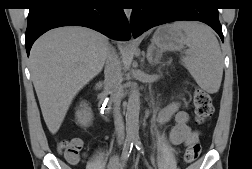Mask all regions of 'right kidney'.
I'll use <instances>...</instances> for the list:
<instances>
[{
	"label": "right kidney",
	"instance_id": "1",
	"mask_svg": "<svg viewBox=\"0 0 252 169\" xmlns=\"http://www.w3.org/2000/svg\"><path fill=\"white\" fill-rule=\"evenodd\" d=\"M77 118H78V123L81 125V126H88L89 124H91L92 122V119H93V115H92V112L91 110H87V109H81V110H78L77 112Z\"/></svg>",
	"mask_w": 252,
	"mask_h": 169
}]
</instances>
